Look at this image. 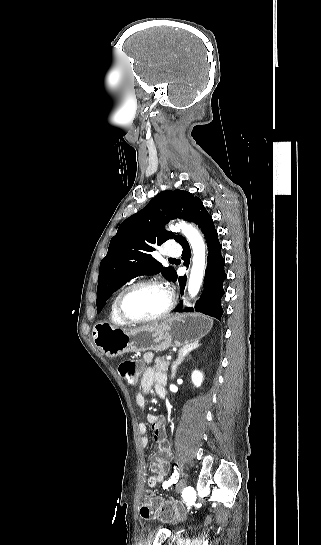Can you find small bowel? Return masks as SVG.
Wrapping results in <instances>:
<instances>
[{"mask_svg":"<svg viewBox=\"0 0 321 545\" xmlns=\"http://www.w3.org/2000/svg\"><path fill=\"white\" fill-rule=\"evenodd\" d=\"M166 377L163 373L155 371L154 369L148 368L142 375L140 381L141 393L136 396V403L140 408L145 406V397L144 394L149 393L152 388L155 392L164 397L166 395L165 391ZM148 421L151 423L153 438L157 443L156 452L150 457L151 465V475L148 478L147 484L149 487L153 488L157 485L162 484L167 474V466L172 456L171 444L166 438L162 424L156 416L148 415ZM138 431L141 435V446L143 448L147 447L149 439L147 436V427L144 423L138 425Z\"/></svg>","mask_w":321,"mask_h":545,"instance_id":"obj_1","label":"small bowel"}]
</instances>
